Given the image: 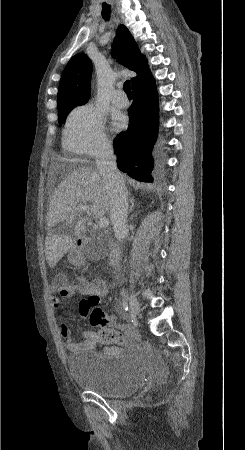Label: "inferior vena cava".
<instances>
[{"instance_id": "obj_1", "label": "inferior vena cava", "mask_w": 245, "mask_h": 450, "mask_svg": "<svg viewBox=\"0 0 245 450\" xmlns=\"http://www.w3.org/2000/svg\"><path fill=\"white\" fill-rule=\"evenodd\" d=\"M97 171L101 175L110 199V218L115 237L122 241L128 233V194L123 176L118 171L111 144H103L96 154Z\"/></svg>"}]
</instances>
